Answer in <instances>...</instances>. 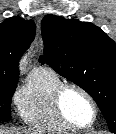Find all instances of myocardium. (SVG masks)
I'll list each match as a JSON object with an SVG mask.
<instances>
[{
	"mask_svg": "<svg viewBox=\"0 0 116 134\" xmlns=\"http://www.w3.org/2000/svg\"><path fill=\"white\" fill-rule=\"evenodd\" d=\"M69 89H75V90L79 91L90 102L92 111H93V116H92V120L89 124H87V125L77 124L66 115V113L64 111V107H63V97H64L65 92ZM54 107H55V111H56L58 117L60 118V120L73 129H88V128L92 127L98 119V106H97V103L94 100L93 96L84 87H82L76 83H73V82L62 83L56 89V91L54 93Z\"/></svg>",
	"mask_w": 116,
	"mask_h": 134,
	"instance_id": "f54148a6",
	"label": "myocardium"
}]
</instances>
